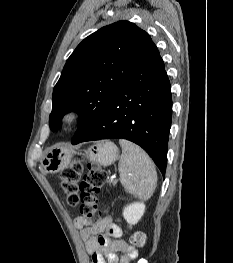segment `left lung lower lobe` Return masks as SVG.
I'll use <instances>...</instances> for the list:
<instances>
[{
	"instance_id": "left-lung-lower-lobe-1",
	"label": "left lung lower lobe",
	"mask_w": 233,
	"mask_h": 263,
	"mask_svg": "<svg viewBox=\"0 0 233 263\" xmlns=\"http://www.w3.org/2000/svg\"><path fill=\"white\" fill-rule=\"evenodd\" d=\"M170 89L163 60L152 43L96 125L80 142L110 138L130 140L150 155L164 176L172 118Z\"/></svg>"
}]
</instances>
